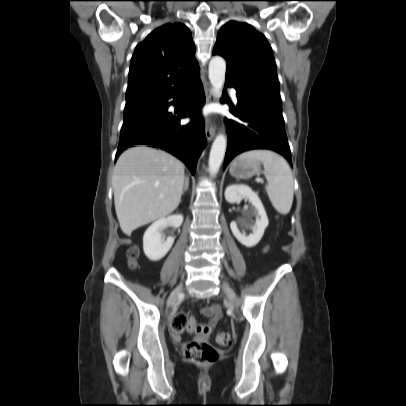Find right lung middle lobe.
Listing matches in <instances>:
<instances>
[{
    "instance_id": "obj_1",
    "label": "right lung middle lobe",
    "mask_w": 406,
    "mask_h": 406,
    "mask_svg": "<svg viewBox=\"0 0 406 406\" xmlns=\"http://www.w3.org/2000/svg\"><path fill=\"white\" fill-rule=\"evenodd\" d=\"M163 106L164 103L161 99L145 100L125 106L124 123L121 132L157 120Z\"/></svg>"
}]
</instances>
